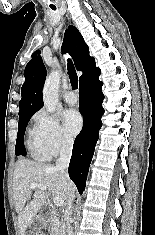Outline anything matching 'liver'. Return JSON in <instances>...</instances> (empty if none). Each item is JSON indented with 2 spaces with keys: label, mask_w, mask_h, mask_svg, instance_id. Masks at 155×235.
<instances>
[{
  "label": "liver",
  "mask_w": 155,
  "mask_h": 235,
  "mask_svg": "<svg viewBox=\"0 0 155 235\" xmlns=\"http://www.w3.org/2000/svg\"><path fill=\"white\" fill-rule=\"evenodd\" d=\"M31 183L42 184L48 188V191L40 188L32 189ZM75 190L73 182L54 166L20 158L13 175V198L20 235L25 234L27 227L49 196H59L66 201L68 193H75Z\"/></svg>",
  "instance_id": "1"
}]
</instances>
